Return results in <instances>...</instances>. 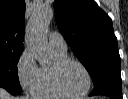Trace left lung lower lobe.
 I'll return each instance as SVG.
<instances>
[{"label": "left lung lower lobe", "mask_w": 128, "mask_h": 99, "mask_svg": "<svg viewBox=\"0 0 128 99\" xmlns=\"http://www.w3.org/2000/svg\"><path fill=\"white\" fill-rule=\"evenodd\" d=\"M122 80L120 72H108L101 76L94 84L95 88L90 96L104 95L112 99L122 98Z\"/></svg>", "instance_id": "left-lung-lower-lobe-1"}]
</instances>
